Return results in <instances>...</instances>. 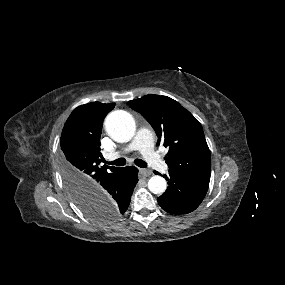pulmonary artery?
Instances as JSON below:
<instances>
[{"label":"pulmonary artery","instance_id":"e3ab8cb5","mask_svg":"<svg viewBox=\"0 0 285 285\" xmlns=\"http://www.w3.org/2000/svg\"><path fill=\"white\" fill-rule=\"evenodd\" d=\"M132 151H139L146 162L159 172L166 173L168 171L167 163L154 150V139L149 129L139 128L134 139L127 146L121 151L109 153L106 158L114 160L121 154H127Z\"/></svg>","mask_w":285,"mask_h":285}]
</instances>
